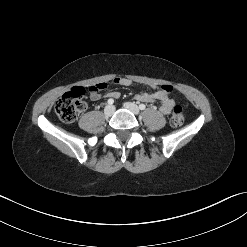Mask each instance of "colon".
<instances>
[{
  "instance_id": "colon-1",
  "label": "colon",
  "mask_w": 247,
  "mask_h": 247,
  "mask_svg": "<svg viewBox=\"0 0 247 247\" xmlns=\"http://www.w3.org/2000/svg\"><path fill=\"white\" fill-rule=\"evenodd\" d=\"M107 87L106 83L93 85L90 90L101 91ZM85 90L82 87H73L64 93L55 104V112L58 118L65 122H73L77 114L84 108L83 96ZM184 123V112L180 105H175L171 114L170 124L179 127Z\"/></svg>"
}]
</instances>
